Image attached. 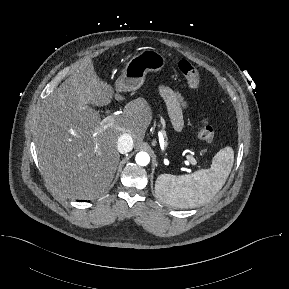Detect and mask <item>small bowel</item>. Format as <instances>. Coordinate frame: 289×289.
<instances>
[{"label":"small bowel","mask_w":289,"mask_h":289,"mask_svg":"<svg viewBox=\"0 0 289 289\" xmlns=\"http://www.w3.org/2000/svg\"><path fill=\"white\" fill-rule=\"evenodd\" d=\"M159 93L168 107L175 129L182 130L184 125L183 113L187 109L184 97L178 91L166 86H160Z\"/></svg>","instance_id":"c3829d8e"}]
</instances>
